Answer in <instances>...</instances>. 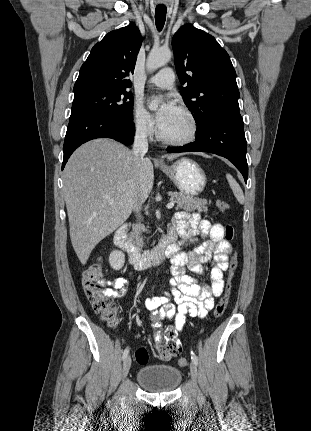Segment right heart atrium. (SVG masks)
I'll return each instance as SVG.
<instances>
[{"instance_id": "obj_1", "label": "right heart atrium", "mask_w": 311, "mask_h": 431, "mask_svg": "<svg viewBox=\"0 0 311 431\" xmlns=\"http://www.w3.org/2000/svg\"><path fill=\"white\" fill-rule=\"evenodd\" d=\"M130 123L133 131L144 138L152 137L156 131L153 118L139 101H135L131 107Z\"/></svg>"}]
</instances>
